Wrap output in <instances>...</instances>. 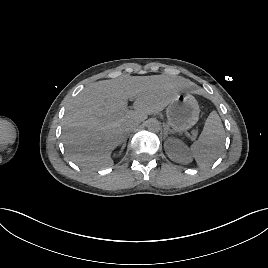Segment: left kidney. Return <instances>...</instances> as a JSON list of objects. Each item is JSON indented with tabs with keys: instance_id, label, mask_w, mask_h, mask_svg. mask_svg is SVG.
<instances>
[{
	"instance_id": "1",
	"label": "left kidney",
	"mask_w": 268,
	"mask_h": 268,
	"mask_svg": "<svg viewBox=\"0 0 268 268\" xmlns=\"http://www.w3.org/2000/svg\"><path fill=\"white\" fill-rule=\"evenodd\" d=\"M164 147L172 161L183 164H188L192 161L191 153L182 141L170 138L165 142Z\"/></svg>"
}]
</instances>
